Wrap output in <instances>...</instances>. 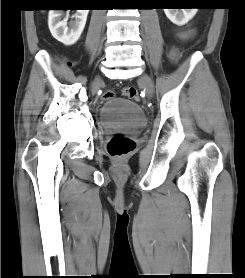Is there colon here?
<instances>
[{
    "label": "colon",
    "mask_w": 245,
    "mask_h": 278,
    "mask_svg": "<svg viewBox=\"0 0 245 278\" xmlns=\"http://www.w3.org/2000/svg\"><path fill=\"white\" fill-rule=\"evenodd\" d=\"M199 8H209L208 5L202 4L199 6ZM123 94L130 100L137 101L139 99L137 89L135 87H125L123 89ZM113 97V92L111 91H105L103 93L104 99H110ZM135 149V142L124 136L122 133L118 132L113 135V137L110 139L107 151L108 154L112 159L115 161H121L128 155H130Z\"/></svg>",
    "instance_id": "colon-1"
}]
</instances>
